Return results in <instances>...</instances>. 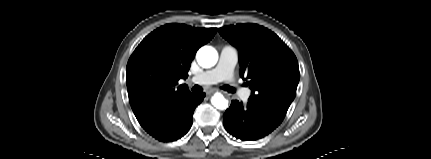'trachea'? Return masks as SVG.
I'll use <instances>...</instances> for the list:
<instances>
[{
    "label": "trachea",
    "mask_w": 431,
    "mask_h": 159,
    "mask_svg": "<svg viewBox=\"0 0 431 159\" xmlns=\"http://www.w3.org/2000/svg\"><path fill=\"white\" fill-rule=\"evenodd\" d=\"M223 90H225V91H228L229 93H234L235 92V90H234V88H232V87H230V86H228V85H225V86H223V87H221ZM202 87L201 86H198V85H195V86H193V88H192V92L193 93H201L202 92Z\"/></svg>",
    "instance_id": "3493384b"
}]
</instances>
